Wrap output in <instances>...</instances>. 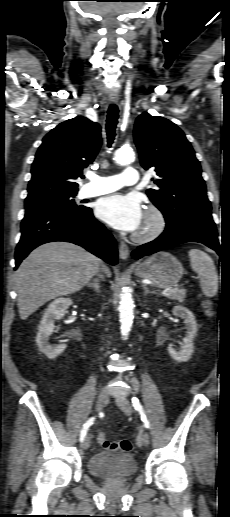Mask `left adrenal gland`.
Returning <instances> with one entry per match:
<instances>
[{
    "label": "left adrenal gland",
    "mask_w": 230,
    "mask_h": 517,
    "mask_svg": "<svg viewBox=\"0 0 230 517\" xmlns=\"http://www.w3.org/2000/svg\"><path fill=\"white\" fill-rule=\"evenodd\" d=\"M143 289H144V296L148 295V294H155V292L153 291H149L148 287L146 285H142Z\"/></svg>",
    "instance_id": "a2214340"
}]
</instances>
